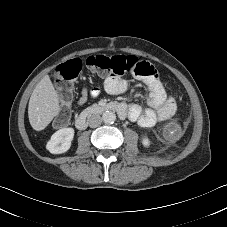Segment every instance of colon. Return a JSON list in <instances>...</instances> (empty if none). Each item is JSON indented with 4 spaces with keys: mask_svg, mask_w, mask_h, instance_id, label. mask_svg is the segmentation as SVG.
<instances>
[{
    "mask_svg": "<svg viewBox=\"0 0 227 227\" xmlns=\"http://www.w3.org/2000/svg\"><path fill=\"white\" fill-rule=\"evenodd\" d=\"M86 67L92 72L102 75H122L134 73L141 77H158L157 69L146 61H141L132 55L104 56L92 55L85 59ZM83 67L78 58L62 64L57 69L60 84V97L67 106L71 102L75 90V79ZM71 110L66 107L64 111L54 120V127L63 128L71 118Z\"/></svg>",
    "mask_w": 227,
    "mask_h": 227,
    "instance_id": "colon-1",
    "label": "colon"
}]
</instances>
